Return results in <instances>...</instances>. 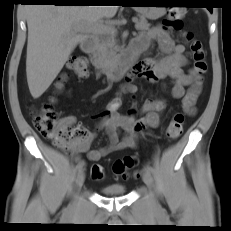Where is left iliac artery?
Listing matches in <instances>:
<instances>
[{
    "label": "left iliac artery",
    "instance_id": "1",
    "mask_svg": "<svg viewBox=\"0 0 231 231\" xmlns=\"http://www.w3.org/2000/svg\"><path fill=\"white\" fill-rule=\"evenodd\" d=\"M145 169H147L150 173H153V172H154L153 167L150 166L149 164H147V165L145 166Z\"/></svg>",
    "mask_w": 231,
    "mask_h": 231
}]
</instances>
